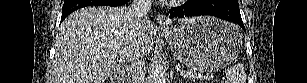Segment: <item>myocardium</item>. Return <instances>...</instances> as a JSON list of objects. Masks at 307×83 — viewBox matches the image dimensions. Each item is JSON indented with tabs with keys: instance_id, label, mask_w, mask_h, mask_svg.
Segmentation results:
<instances>
[{
	"instance_id": "f54148a6",
	"label": "myocardium",
	"mask_w": 307,
	"mask_h": 83,
	"mask_svg": "<svg viewBox=\"0 0 307 83\" xmlns=\"http://www.w3.org/2000/svg\"><path fill=\"white\" fill-rule=\"evenodd\" d=\"M182 1H184V0H178V1H174V2H182Z\"/></svg>"
}]
</instances>
